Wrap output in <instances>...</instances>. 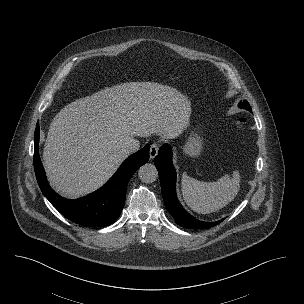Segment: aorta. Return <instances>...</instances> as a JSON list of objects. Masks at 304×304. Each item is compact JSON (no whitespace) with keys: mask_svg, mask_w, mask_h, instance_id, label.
<instances>
[{"mask_svg":"<svg viewBox=\"0 0 304 304\" xmlns=\"http://www.w3.org/2000/svg\"><path fill=\"white\" fill-rule=\"evenodd\" d=\"M138 176L143 183H152L158 178V171L155 165L147 163L139 168Z\"/></svg>","mask_w":304,"mask_h":304,"instance_id":"aorta-1","label":"aorta"}]
</instances>
